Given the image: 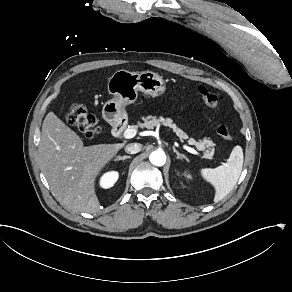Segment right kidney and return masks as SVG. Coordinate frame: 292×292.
Wrapping results in <instances>:
<instances>
[{
  "mask_svg": "<svg viewBox=\"0 0 292 292\" xmlns=\"http://www.w3.org/2000/svg\"><path fill=\"white\" fill-rule=\"evenodd\" d=\"M117 173L113 172V173H108L107 175H105L102 179V186L105 188H108L110 186H112L115 181L117 180Z\"/></svg>",
  "mask_w": 292,
  "mask_h": 292,
  "instance_id": "1",
  "label": "right kidney"
}]
</instances>
